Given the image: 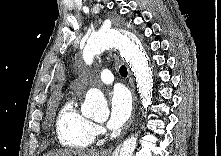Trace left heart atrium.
<instances>
[{"label":"left heart atrium","instance_id":"39dd6f15","mask_svg":"<svg viewBox=\"0 0 221 156\" xmlns=\"http://www.w3.org/2000/svg\"><path fill=\"white\" fill-rule=\"evenodd\" d=\"M110 113L107 127L111 130L120 129L130 118L132 99L123 87H115L109 95Z\"/></svg>","mask_w":221,"mask_h":156}]
</instances>
